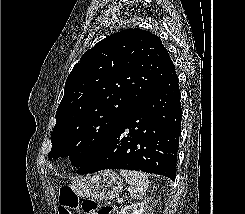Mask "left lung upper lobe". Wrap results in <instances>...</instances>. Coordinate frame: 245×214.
Segmentation results:
<instances>
[{"label": "left lung upper lobe", "instance_id": "left-lung-upper-lobe-1", "mask_svg": "<svg viewBox=\"0 0 245 214\" xmlns=\"http://www.w3.org/2000/svg\"><path fill=\"white\" fill-rule=\"evenodd\" d=\"M174 71L167 49L151 32L126 29L98 42L67 78L48 158L69 156L79 168Z\"/></svg>", "mask_w": 245, "mask_h": 214}]
</instances>
